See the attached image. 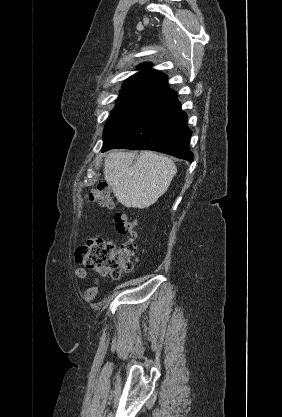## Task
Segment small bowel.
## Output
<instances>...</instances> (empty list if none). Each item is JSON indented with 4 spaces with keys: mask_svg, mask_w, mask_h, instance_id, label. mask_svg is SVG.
Listing matches in <instances>:
<instances>
[{
    "mask_svg": "<svg viewBox=\"0 0 282 417\" xmlns=\"http://www.w3.org/2000/svg\"><path fill=\"white\" fill-rule=\"evenodd\" d=\"M73 274L80 280H91L93 284L85 289L83 298L86 302H91L98 294V279L92 277L84 268L77 267L74 269Z\"/></svg>",
    "mask_w": 282,
    "mask_h": 417,
    "instance_id": "1",
    "label": "small bowel"
}]
</instances>
